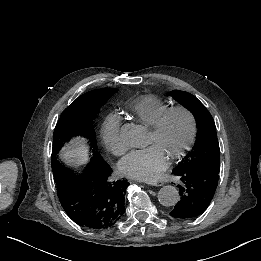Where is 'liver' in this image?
<instances>
[{
  "instance_id": "liver-1",
  "label": "liver",
  "mask_w": 261,
  "mask_h": 261,
  "mask_svg": "<svg viewBox=\"0 0 261 261\" xmlns=\"http://www.w3.org/2000/svg\"><path fill=\"white\" fill-rule=\"evenodd\" d=\"M84 150L79 147H71L69 150L65 152V158L68 160H74L76 157H83Z\"/></svg>"
}]
</instances>
